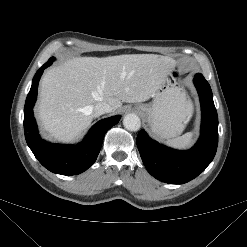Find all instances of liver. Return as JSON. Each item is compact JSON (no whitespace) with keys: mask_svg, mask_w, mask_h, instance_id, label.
I'll return each mask as SVG.
<instances>
[{"mask_svg":"<svg viewBox=\"0 0 247 247\" xmlns=\"http://www.w3.org/2000/svg\"><path fill=\"white\" fill-rule=\"evenodd\" d=\"M175 61L156 54L79 57L53 67L40 84L38 117L49 138L77 139L92 122L91 108L105 102L113 111L122 102L140 103L154 96Z\"/></svg>","mask_w":247,"mask_h":247,"instance_id":"liver-1","label":"liver"}]
</instances>
